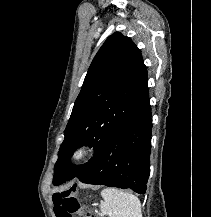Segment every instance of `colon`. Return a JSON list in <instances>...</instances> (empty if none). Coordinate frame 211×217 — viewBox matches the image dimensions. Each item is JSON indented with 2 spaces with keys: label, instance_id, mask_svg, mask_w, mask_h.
Masks as SVG:
<instances>
[{
  "label": "colon",
  "instance_id": "5ec220e1",
  "mask_svg": "<svg viewBox=\"0 0 211 217\" xmlns=\"http://www.w3.org/2000/svg\"><path fill=\"white\" fill-rule=\"evenodd\" d=\"M76 188L72 187L53 196L54 211L57 217H73L80 214L82 217H95L90 212L84 211L75 196Z\"/></svg>",
  "mask_w": 211,
  "mask_h": 217
}]
</instances>
